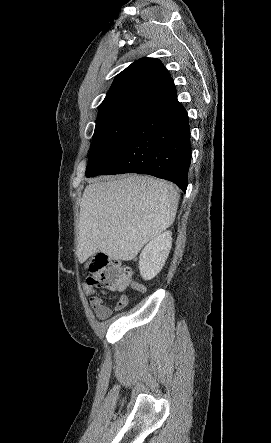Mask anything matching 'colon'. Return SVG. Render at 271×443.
Here are the masks:
<instances>
[{"instance_id": "colon-1", "label": "colon", "mask_w": 271, "mask_h": 443, "mask_svg": "<svg viewBox=\"0 0 271 443\" xmlns=\"http://www.w3.org/2000/svg\"><path fill=\"white\" fill-rule=\"evenodd\" d=\"M132 269L118 260L100 257L91 265L87 284L112 292H120L132 286Z\"/></svg>"}]
</instances>
